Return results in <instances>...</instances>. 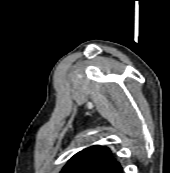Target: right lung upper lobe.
<instances>
[{
  "mask_svg": "<svg viewBox=\"0 0 170 173\" xmlns=\"http://www.w3.org/2000/svg\"><path fill=\"white\" fill-rule=\"evenodd\" d=\"M119 165L108 148L96 145L75 154L60 173H107Z\"/></svg>",
  "mask_w": 170,
  "mask_h": 173,
  "instance_id": "1",
  "label": "right lung upper lobe"
}]
</instances>
